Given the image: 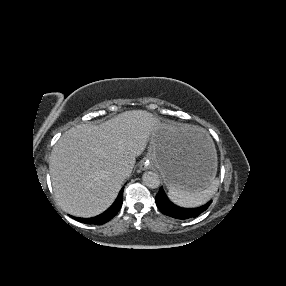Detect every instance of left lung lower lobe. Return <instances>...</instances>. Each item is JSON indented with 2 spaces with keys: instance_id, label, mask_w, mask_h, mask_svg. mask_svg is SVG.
<instances>
[{
  "instance_id": "left-lung-lower-lobe-1",
  "label": "left lung lower lobe",
  "mask_w": 286,
  "mask_h": 286,
  "mask_svg": "<svg viewBox=\"0 0 286 286\" xmlns=\"http://www.w3.org/2000/svg\"><path fill=\"white\" fill-rule=\"evenodd\" d=\"M210 203L211 201L198 208H181L168 200L162 188H160L158 194L156 195V204L159 210L165 215L177 219L197 217L209 207Z\"/></svg>"
}]
</instances>
